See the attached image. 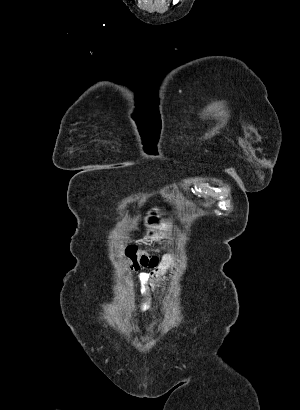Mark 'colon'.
Masks as SVG:
<instances>
[{
	"label": "colon",
	"mask_w": 300,
	"mask_h": 410,
	"mask_svg": "<svg viewBox=\"0 0 300 410\" xmlns=\"http://www.w3.org/2000/svg\"><path fill=\"white\" fill-rule=\"evenodd\" d=\"M125 256L130 267L135 270L140 268H152L158 263V258L156 256L149 255L136 248H129Z\"/></svg>",
	"instance_id": "colon-1"
}]
</instances>
